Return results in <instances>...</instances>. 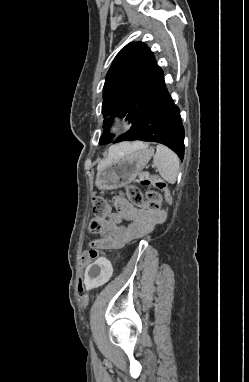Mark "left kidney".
I'll list each match as a JSON object with an SVG mask.
<instances>
[{"label":"left kidney","mask_w":249,"mask_h":382,"mask_svg":"<svg viewBox=\"0 0 249 382\" xmlns=\"http://www.w3.org/2000/svg\"><path fill=\"white\" fill-rule=\"evenodd\" d=\"M94 265L99 267V270H86L85 276L82 277L83 286L86 288L87 293H93L94 289L105 287L107 281L111 280L114 276L115 267L111 266V261L104 257L98 258Z\"/></svg>","instance_id":"1"}]
</instances>
